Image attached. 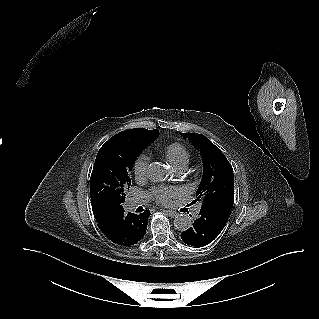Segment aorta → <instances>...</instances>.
Wrapping results in <instances>:
<instances>
[{
  "mask_svg": "<svg viewBox=\"0 0 319 319\" xmlns=\"http://www.w3.org/2000/svg\"><path fill=\"white\" fill-rule=\"evenodd\" d=\"M147 174L153 182H162L168 176V169L160 162H153L148 166ZM174 226L180 231L191 227V218L186 214H179L174 219Z\"/></svg>",
  "mask_w": 319,
  "mask_h": 319,
  "instance_id": "1",
  "label": "aorta"
}]
</instances>
